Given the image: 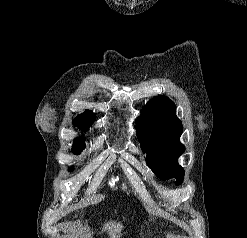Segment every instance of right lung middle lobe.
Returning <instances> with one entry per match:
<instances>
[{"instance_id":"1","label":"right lung middle lobe","mask_w":247,"mask_h":238,"mask_svg":"<svg viewBox=\"0 0 247 238\" xmlns=\"http://www.w3.org/2000/svg\"><path fill=\"white\" fill-rule=\"evenodd\" d=\"M84 148L85 146H82V145H73L72 151L74 154H79Z\"/></svg>"}]
</instances>
